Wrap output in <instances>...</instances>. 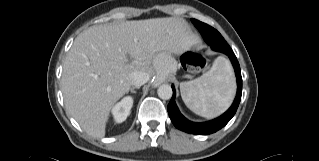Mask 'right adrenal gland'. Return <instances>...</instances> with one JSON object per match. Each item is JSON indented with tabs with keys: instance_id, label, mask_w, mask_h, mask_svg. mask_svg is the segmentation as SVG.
I'll use <instances>...</instances> for the list:
<instances>
[{
	"instance_id": "1",
	"label": "right adrenal gland",
	"mask_w": 319,
	"mask_h": 161,
	"mask_svg": "<svg viewBox=\"0 0 319 161\" xmlns=\"http://www.w3.org/2000/svg\"><path fill=\"white\" fill-rule=\"evenodd\" d=\"M135 88H139V87H132V88H130L129 91H130L132 94H135V93H136Z\"/></svg>"
}]
</instances>
